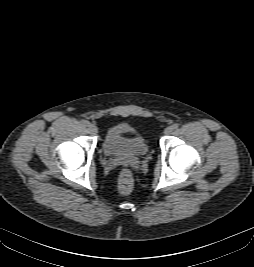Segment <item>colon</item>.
<instances>
[{
    "mask_svg": "<svg viewBox=\"0 0 254 267\" xmlns=\"http://www.w3.org/2000/svg\"><path fill=\"white\" fill-rule=\"evenodd\" d=\"M134 186V178L130 169L124 168L118 177L117 189L121 194H128Z\"/></svg>",
    "mask_w": 254,
    "mask_h": 267,
    "instance_id": "5ec220e1",
    "label": "colon"
}]
</instances>
